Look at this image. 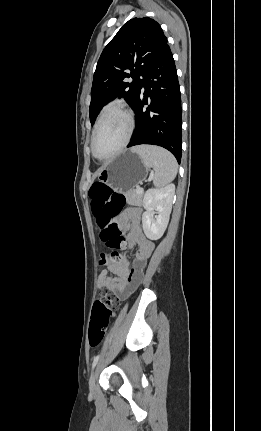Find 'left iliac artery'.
I'll list each match as a JSON object with an SVG mask.
<instances>
[{
  "label": "left iliac artery",
  "instance_id": "obj_1",
  "mask_svg": "<svg viewBox=\"0 0 261 431\" xmlns=\"http://www.w3.org/2000/svg\"><path fill=\"white\" fill-rule=\"evenodd\" d=\"M98 360H99V355L94 357L93 362H92V369L96 366Z\"/></svg>",
  "mask_w": 261,
  "mask_h": 431
}]
</instances>
